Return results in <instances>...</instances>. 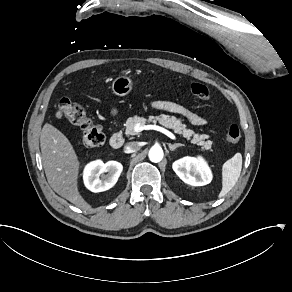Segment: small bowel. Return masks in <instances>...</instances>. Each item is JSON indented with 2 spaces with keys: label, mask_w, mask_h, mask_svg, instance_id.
<instances>
[{
  "label": "small bowel",
  "mask_w": 292,
  "mask_h": 292,
  "mask_svg": "<svg viewBox=\"0 0 292 292\" xmlns=\"http://www.w3.org/2000/svg\"><path fill=\"white\" fill-rule=\"evenodd\" d=\"M150 105L156 110L182 116L192 125L201 126L206 123V120L202 116L194 113L187 107L173 101L155 100L152 101Z\"/></svg>",
  "instance_id": "c3829d8e"
}]
</instances>
